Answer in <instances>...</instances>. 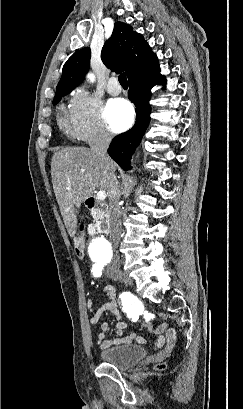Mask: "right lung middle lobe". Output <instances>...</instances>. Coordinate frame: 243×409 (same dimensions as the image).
I'll return each mask as SVG.
<instances>
[{
  "mask_svg": "<svg viewBox=\"0 0 243 409\" xmlns=\"http://www.w3.org/2000/svg\"><path fill=\"white\" fill-rule=\"evenodd\" d=\"M66 94H60V95H58V96H55L54 97V101H53V104L55 105V104H57L60 100H61V97L62 96H65Z\"/></svg>",
  "mask_w": 243,
  "mask_h": 409,
  "instance_id": "dd1d6c3e",
  "label": "right lung middle lobe"
}]
</instances>
